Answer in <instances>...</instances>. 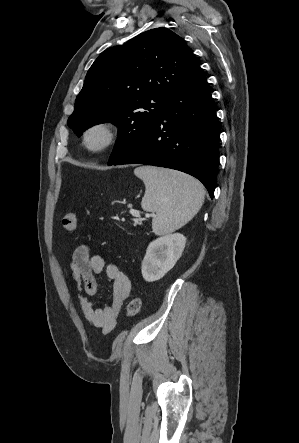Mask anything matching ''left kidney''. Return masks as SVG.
Masks as SVG:
<instances>
[{
	"label": "left kidney",
	"instance_id": "left-kidney-1",
	"mask_svg": "<svg viewBox=\"0 0 299 443\" xmlns=\"http://www.w3.org/2000/svg\"><path fill=\"white\" fill-rule=\"evenodd\" d=\"M186 237L180 233L167 234L152 241L142 261V276L148 282L161 279L181 257Z\"/></svg>",
	"mask_w": 299,
	"mask_h": 443
}]
</instances>
